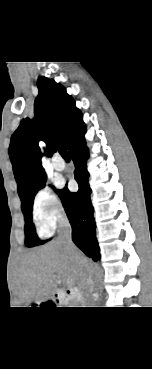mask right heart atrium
I'll use <instances>...</instances> for the list:
<instances>
[{
  "mask_svg": "<svg viewBox=\"0 0 152 369\" xmlns=\"http://www.w3.org/2000/svg\"><path fill=\"white\" fill-rule=\"evenodd\" d=\"M32 215L39 232L48 235L64 217V206L51 188L42 187L34 195Z\"/></svg>",
  "mask_w": 152,
  "mask_h": 369,
  "instance_id": "d8ad5b80",
  "label": "right heart atrium"
}]
</instances>
